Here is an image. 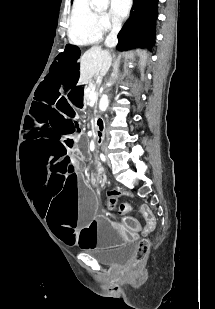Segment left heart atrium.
Wrapping results in <instances>:
<instances>
[{
    "mask_svg": "<svg viewBox=\"0 0 215 309\" xmlns=\"http://www.w3.org/2000/svg\"><path fill=\"white\" fill-rule=\"evenodd\" d=\"M112 7H116L112 9V15L120 16L121 12H130L131 7L127 5V0H111Z\"/></svg>",
    "mask_w": 215,
    "mask_h": 309,
    "instance_id": "obj_1",
    "label": "left heart atrium"
}]
</instances>
